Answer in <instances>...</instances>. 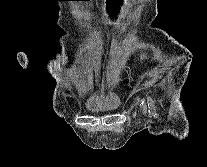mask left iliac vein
Segmentation results:
<instances>
[{
    "mask_svg": "<svg viewBox=\"0 0 207 167\" xmlns=\"http://www.w3.org/2000/svg\"><path fill=\"white\" fill-rule=\"evenodd\" d=\"M142 110L145 114L147 113V106L145 103H143V105H142Z\"/></svg>",
    "mask_w": 207,
    "mask_h": 167,
    "instance_id": "1",
    "label": "left iliac vein"
}]
</instances>
